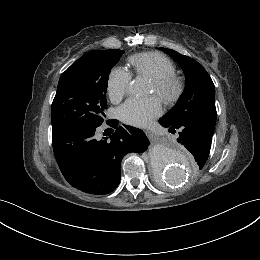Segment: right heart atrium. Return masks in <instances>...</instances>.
Returning <instances> with one entry per match:
<instances>
[{"mask_svg":"<svg viewBox=\"0 0 260 260\" xmlns=\"http://www.w3.org/2000/svg\"><path fill=\"white\" fill-rule=\"evenodd\" d=\"M131 74L122 67H114L107 81V93L111 101L119 102L126 94Z\"/></svg>","mask_w":260,"mask_h":260,"instance_id":"right-heart-atrium-1","label":"right heart atrium"}]
</instances>
